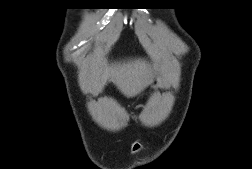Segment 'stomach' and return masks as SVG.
Instances as JSON below:
<instances>
[{
  "mask_svg": "<svg viewBox=\"0 0 252 169\" xmlns=\"http://www.w3.org/2000/svg\"><path fill=\"white\" fill-rule=\"evenodd\" d=\"M151 84H152L153 86H158V85H159L158 79H157V78H154V79L152 80Z\"/></svg>",
  "mask_w": 252,
  "mask_h": 169,
  "instance_id": "stomach-1",
  "label": "stomach"
}]
</instances>
